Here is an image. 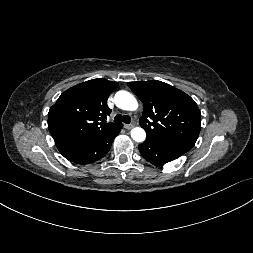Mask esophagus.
<instances>
[{
	"label": "esophagus",
	"instance_id": "obj_1",
	"mask_svg": "<svg viewBox=\"0 0 253 253\" xmlns=\"http://www.w3.org/2000/svg\"><path fill=\"white\" fill-rule=\"evenodd\" d=\"M124 127H125V129L130 130L134 127V125L133 124H125Z\"/></svg>",
	"mask_w": 253,
	"mask_h": 253
}]
</instances>
